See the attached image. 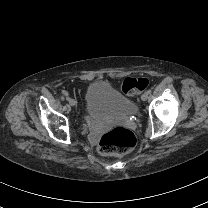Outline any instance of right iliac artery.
Wrapping results in <instances>:
<instances>
[{
  "instance_id": "right-iliac-artery-1",
  "label": "right iliac artery",
  "mask_w": 208,
  "mask_h": 208,
  "mask_svg": "<svg viewBox=\"0 0 208 208\" xmlns=\"http://www.w3.org/2000/svg\"><path fill=\"white\" fill-rule=\"evenodd\" d=\"M66 100H67V101H70V100H71V98H70V97H66Z\"/></svg>"
}]
</instances>
